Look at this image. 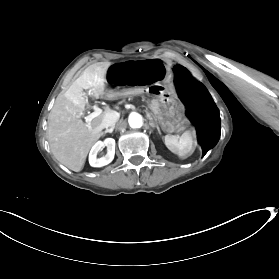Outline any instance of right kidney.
Segmentation results:
<instances>
[{"label":"right kidney","instance_id":"right-kidney-1","mask_svg":"<svg viewBox=\"0 0 279 279\" xmlns=\"http://www.w3.org/2000/svg\"><path fill=\"white\" fill-rule=\"evenodd\" d=\"M107 147V154L101 158H97L98 152ZM115 155V140L113 138H106L103 142L98 141L92 147L89 153V164L92 167H102L112 162Z\"/></svg>","mask_w":279,"mask_h":279}]
</instances>
